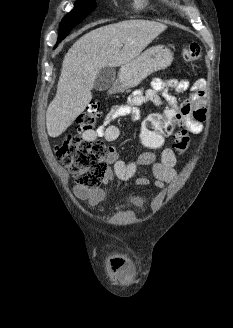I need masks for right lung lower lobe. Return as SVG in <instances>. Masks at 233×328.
<instances>
[{
  "instance_id": "1",
  "label": "right lung lower lobe",
  "mask_w": 233,
  "mask_h": 328,
  "mask_svg": "<svg viewBox=\"0 0 233 328\" xmlns=\"http://www.w3.org/2000/svg\"><path fill=\"white\" fill-rule=\"evenodd\" d=\"M77 24H67V25H60V29H61V32H60V35L58 37V42H60L61 40H63L70 32V30ZM57 46V44H56ZM55 46V47H56ZM54 47V48H55Z\"/></svg>"
}]
</instances>
